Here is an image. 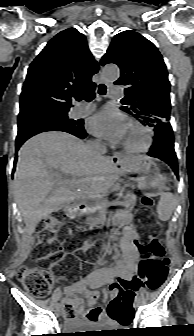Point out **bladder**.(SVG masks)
<instances>
[{
  "instance_id": "1",
  "label": "bladder",
  "mask_w": 194,
  "mask_h": 336,
  "mask_svg": "<svg viewBox=\"0 0 194 336\" xmlns=\"http://www.w3.org/2000/svg\"><path fill=\"white\" fill-rule=\"evenodd\" d=\"M71 326L69 329L72 331L86 329L85 325L77 320H72L69 323L65 324V326Z\"/></svg>"
}]
</instances>
